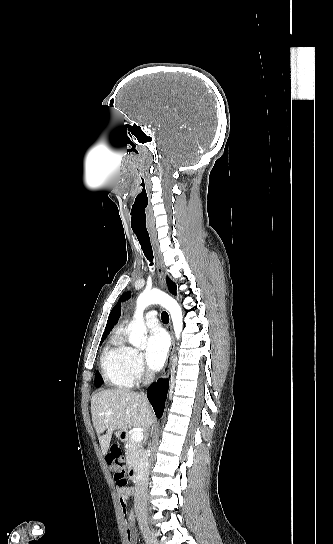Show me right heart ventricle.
Instances as JSON below:
<instances>
[{"mask_svg": "<svg viewBox=\"0 0 333 544\" xmlns=\"http://www.w3.org/2000/svg\"><path fill=\"white\" fill-rule=\"evenodd\" d=\"M102 376L106 383L115 387H131L133 382L127 369V346L119 334H114L105 345L101 359Z\"/></svg>", "mask_w": 333, "mask_h": 544, "instance_id": "1", "label": "right heart ventricle"}]
</instances>
